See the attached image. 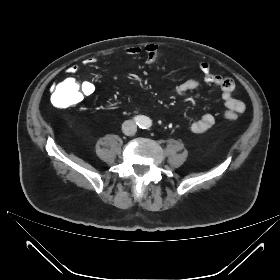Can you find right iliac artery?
I'll list each match as a JSON object with an SVG mask.
<instances>
[{
    "label": "right iliac artery",
    "instance_id": "1",
    "mask_svg": "<svg viewBox=\"0 0 280 280\" xmlns=\"http://www.w3.org/2000/svg\"><path fill=\"white\" fill-rule=\"evenodd\" d=\"M134 120H135V121H139L140 118L137 116V117H134Z\"/></svg>",
    "mask_w": 280,
    "mask_h": 280
}]
</instances>
